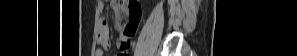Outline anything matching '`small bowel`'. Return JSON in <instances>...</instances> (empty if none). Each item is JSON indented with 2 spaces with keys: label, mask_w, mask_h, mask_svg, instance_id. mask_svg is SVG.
Returning <instances> with one entry per match:
<instances>
[{
  "label": "small bowel",
  "mask_w": 297,
  "mask_h": 56,
  "mask_svg": "<svg viewBox=\"0 0 297 56\" xmlns=\"http://www.w3.org/2000/svg\"><path fill=\"white\" fill-rule=\"evenodd\" d=\"M110 4L115 11V27L121 32L118 40V46L121 49L119 56H127L126 49L129 47V39L136 33L141 9L135 0H111ZM97 41L99 48L96 50L95 55L103 56L104 51L109 50L111 47L109 26L105 19L101 20Z\"/></svg>",
  "instance_id": "small-bowel-1"
}]
</instances>
